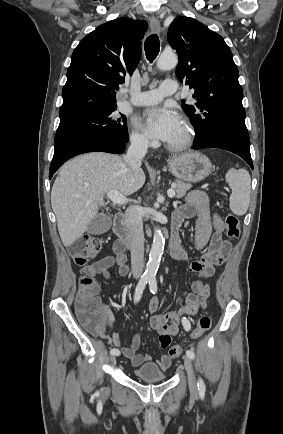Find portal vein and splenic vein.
<instances>
[{
    "instance_id": "portal-vein-and-splenic-vein-1",
    "label": "portal vein and splenic vein",
    "mask_w": 283,
    "mask_h": 434,
    "mask_svg": "<svg viewBox=\"0 0 283 434\" xmlns=\"http://www.w3.org/2000/svg\"><path fill=\"white\" fill-rule=\"evenodd\" d=\"M167 194L170 198H173L175 196V191L173 189H169L167 191ZM108 198L115 204L123 205L128 202V198L123 196L118 191H109L107 193Z\"/></svg>"
}]
</instances>
